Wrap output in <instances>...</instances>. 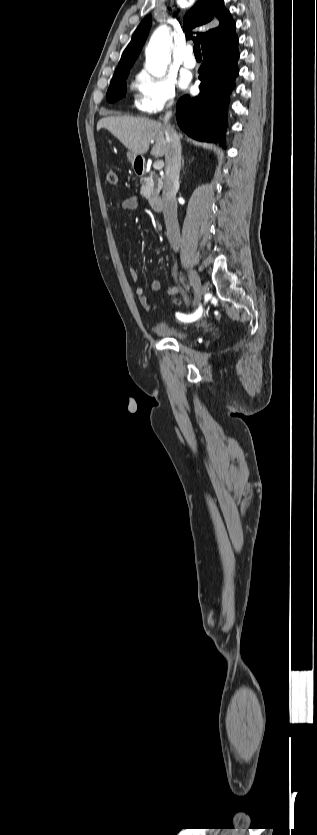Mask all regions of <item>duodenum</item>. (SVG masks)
Here are the masks:
<instances>
[{
	"label": "duodenum",
	"mask_w": 317,
	"mask_h": 835,
	"mask_svg": "<svg viewBox=\"0 0 317 835\" xmlns=\"http://www.w3.org/2000/svg\"><path fill=\"white\" fill-rule=\"evenodd\" d=\"M135 171L139 175H144L146 168L145 164L141 160H137L135 162ZM149 205L152 210L154 211H161L163 207V201L160 195L154 194L149 197Z\"/></svg>",
	"instance_id": "1"
}]
</instances>
